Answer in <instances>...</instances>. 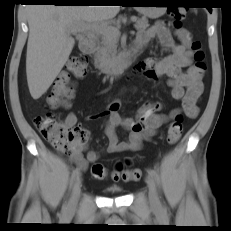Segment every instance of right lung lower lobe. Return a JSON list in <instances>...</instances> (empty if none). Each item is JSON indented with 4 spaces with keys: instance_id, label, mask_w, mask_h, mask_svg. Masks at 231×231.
<instances>
[{
    "instance_id": "98d812e1",
    "label": "right lung lower lobe",
    "mask_w": 231,
    "mask_h": 231,
    "mask_svg": "<svg viewBox=\"0 0 231 231\" xmlns=\"http://www.w3.org/2000/svg\"><path fill=\"white\" fill-rule=\"evenodd\" d=\"M30 3H52L54 5H82V0H26Z\"/></svg>"
}]
</instances>
